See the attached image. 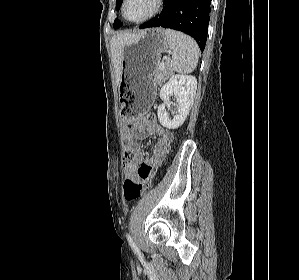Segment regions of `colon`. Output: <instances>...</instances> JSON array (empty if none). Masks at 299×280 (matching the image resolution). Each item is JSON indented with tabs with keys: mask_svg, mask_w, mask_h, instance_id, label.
I'll list each match as a JSON object with an SVG mask.
<instances>
[{
	"mask_svg": "<svg viewBox=\"0 0 299 280\" xmlns=\"http://www.w3.org/2000/svg\"><path fill=\"white\" fill-rule=\"evenodd\" d=\"M154 119L155 116L153 114H147L141 119L140 123L147 124L152 122ZM169 150L170 143L164 147L161 155L158 158L145 161L140 164L137 170L136 178L125 181L123 186V195L126 201H134L143 195L145 190L149 187L154 173L164 161ZM126 156H128V153Z\"/></svg>",
	"mask_w": 299,
	"mask_h": 280,
	"instance_id": "5ec220e1",
	"label": "colon"
}]
</instances>
